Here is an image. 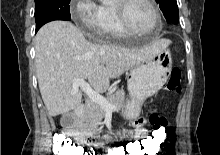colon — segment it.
Listing matches in <instances>:
<instances>
[{
	"mask_svg": "<svg viewBox=\"0 0 220 155\" xmlns=\"http://www.w3.org/2000/svg\"><path fill=\"white\" fill-rule=\"evenodd\" d=\"M181 71L173 68L166 89L172 92L181 91ZM167 120L155 109L151 110L150 123L146 125L149 135L144 139H131L125 142V147H105V145H85L73 143L65 137H55L54 153L57 155H160L163 144H169V129ZM91 140V139H89Z\"/></svg>",
	"mask_w": 220,
	"mask_h": 155,
	"instance_id": "obj_1",
	"label": "colon"
}]
</instances>
